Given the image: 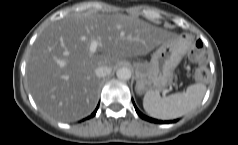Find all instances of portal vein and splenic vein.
<instances>
[{"mask_svg":"<svg viewBox=\"0 0 238 145\" xmlns=\"http://www.w3.org/2000/svg\"><path fill=\"white\" fill-rule=\"evenodd\" d=\"M97 47H98V42L95 40L91 41L90 52L94 53L96 51Z\"/></svg>","mask_w":238,"mask_h":145,"instance_id":"18ae733b","label":"portal vein and splenic vein"}]
</instances>
